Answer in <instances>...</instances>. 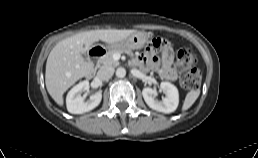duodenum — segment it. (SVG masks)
<instances>
[{"label":"duodenum","instance_id":"duodenum-1","mask_svg":"<svg viewBox=\"0 0 258 158\" xmlns=\"http://www.w3.org/2000/svg\"><path fill=\"white\" fill-rule=\"evenodd\" d=\"M106 53V48L103 45H98L95 46L89 53V63L93 66L92 68H94L99 61L101 60V58L105 55Z\"/></svg>","mask_w":258,"mask_h":158}]
</instances>
